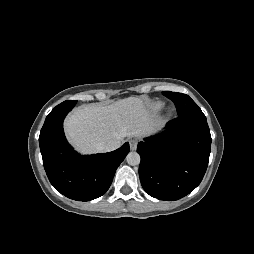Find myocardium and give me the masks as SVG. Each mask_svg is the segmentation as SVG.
Returning <instances> with one entry per match:
<instances>
[{
  "label": "myocardium",
  "instance_id": "f54148a6",
  "mask_svg": "<svg viewBox=\"0 0 254 254\" xmlns=\"http://www.w3.org/2000/svg\"><path fill=\"white\" fill-rule=\"evenodd\" d=\"M169 112H170V113L172 112V108L169 109Z\"/></svg>",
  "mask_w": 254,
  "mask_h": 254
}]
</instances>
